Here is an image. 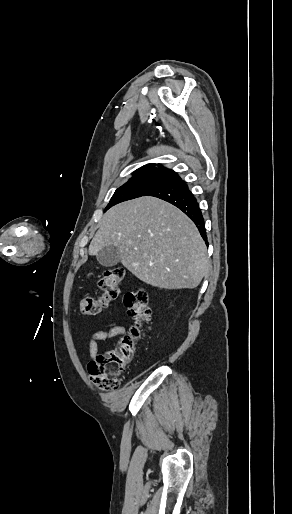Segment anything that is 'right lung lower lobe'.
Wrapping results in <instances>:
<instances>
[{
	"label": "right lung lower lobe",
	"mask_w": 292,
	"mask_h": 514,
	"mask_svg": "<svg viewBox=\"0 0 292 514\" xmlns=\"http://www.w3.org/2000/svg\"><path fill=\"white\" fill-rule=\"evenodd\" d=\"M143 196L157 197L178 207L195 223L202 238L206 241L204 219L198 202L187 184L176 173L148 190ZM206 244H208L207 241Z\"/></svg>",
	"instance_id": "1"
}]
</instances>
